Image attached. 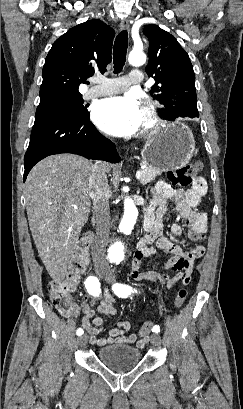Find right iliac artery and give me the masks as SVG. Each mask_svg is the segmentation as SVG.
<instances>
[{
    "instance_id": "1",
    "label": "right iliac artery",
    "mask_w": 243,
    "mask_h": 409,
    "mask_svg": "<svg viewBox=\"0 0 243 409\" xmlns=\"http://www.w3.org/2000/svg\"><path fill=\"white\" fill-rule=\"evenodd\" d=\"M84 284H85L87 291L93 296H98L99 293L101 292L100 282L95 276L88 277ZM76 334L79 336L82 335L83 329L81 328L77 329Z\"/></svg>"
}]
</instances>
